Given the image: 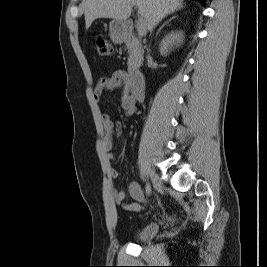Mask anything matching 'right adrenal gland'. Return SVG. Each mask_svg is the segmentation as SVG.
Listing matches in <instances>:
<instances>
[{"mask_svg":"<svg viewBox=\"0 0 267 267\" xmlns=\"http://www.w3.org/2000/svg\"><path fill=\"white\" fill-rule=\"evenodd\" d=\"M176 17H177L176 15H175V16H172L169 20H167L166 22H164L163 25L158 29L156 35H158V33L161 31V29H162L165 25H167L169 22H171V21H172L173 19H175Z\"/></svg>","mask_w":267,"mask_h":267,"instance_id":"right-adrenal-gland-1","label":"right adrenal gland"}]
</instances>
